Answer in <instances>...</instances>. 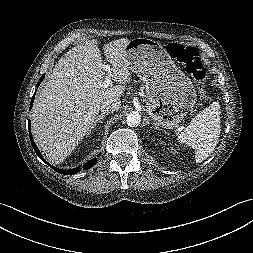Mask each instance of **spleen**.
<instances>
[{
  "mask_svg": "<svg viewBox=\"0 0 253 253\" xmlns=\"http://www.w3.org/2000/svg\"><path fill=\"white\" fill-rule=\"evenodd\" d=\"M220 123V105L213 102L197 114L178 135L180 143L195 149L196 163H201L214 151L220 137Z\"/></svg>",
  "mask_w": 253,
  "mask_h": 253,
  "instance_id": "1",
  "label": "spleen"
}]
</instances>
